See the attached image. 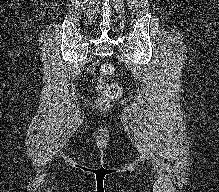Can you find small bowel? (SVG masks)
<instances>
[{"instance_id":"obj_1","label":"small bowel","mask_w":219,"mask_h":192,"mask_svg":"<svg viewBox=\"0 0 219 192\" xmlns=\"http://www.w3.org/2000/svg\"><path fill=\"white\" fill-rule=\"evenodd\" d=\"M96 66H97L96 63L92 64L91 67H90V69H89V71L92 72V71L95 69Z\"/></svg>"}]
</instances>
